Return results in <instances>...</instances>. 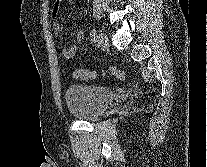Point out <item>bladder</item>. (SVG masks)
Masks as SVG:
<instances>
[{"label":"bladder","mask_w":207,"mask_h":167,"mask_svg":"<svg viewBox=\"0 0 207 167\" xmlns=\"http://www.w3.org/2000/svg\"><path fill=\"white\" fill-rule=\"evenodd\" d=\"M115 93L106 87L73 84L65 93L69 113L77 120L93 121L98 119L110 106Z\"/></svg>","instance_id":"bladder-1"}]
</instances>
